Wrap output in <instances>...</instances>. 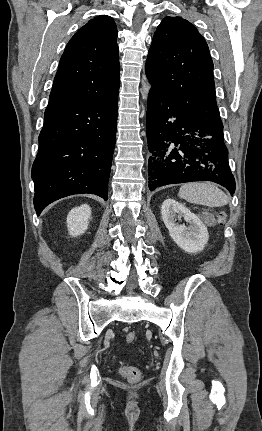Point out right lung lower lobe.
<instances>
[{
	"mask_svg": "<svg viewBox=\"0 0 262 431\" xmlns=\"http://www.w3.org/2000/svg\"><path fill=\"white\" fill-rule=\"evenodd\" d=\"M117 113L118 92L101 101L48 103L32 166L37 215L72 194L107 200Z\"/></svg>",
	"mask_w": 262,
	"mask_h": 431,
	"instance_id": "98d812e1",
	"label": "right lung lower lobe"
}]
</instances>
